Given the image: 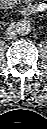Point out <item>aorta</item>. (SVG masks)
I'll return each instance as SVG.
<instances>
[{
  "instance_id": "762f6f07",
  "label": "aorta",
  "mask_w": 47,
  "mask_h": 129,
  "mask_svg": "<svg viewBox=\"0 0 47 129\" xmlns=\"http://www.w3.org/2000/svg\"><path fill=\"white\" fill-rule=\"evenodd\" d=\"M31 31V25L28 21H19L16 25V32L19 35H27Z\"/></svg>"
}]
</instances>
